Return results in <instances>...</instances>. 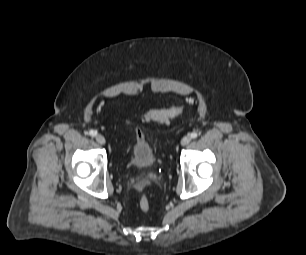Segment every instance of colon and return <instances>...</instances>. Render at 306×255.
I'll use <instances>...</instances> for the list:
<instances>
[{
  "label": "colon",
  "instance_id": "5ec220e1",
  "mask_svg": "<svg viewBox=\"0 0 306 255\" xmlns=\"http://www.w3.org/2000/svg\"><path fill=\"white\" fill-rule=\"evenodd\" d=\"M183 112L182 107L171 105L164 109H151L141 114L143 121H159L166 122L172 118L181 115ZM139 206L142 211L147 212L150 210V200L147 195H142L139 201Z\"/></svg>",
  "mask_w": 306,
  "mask_h": 255
}]
</instances>
